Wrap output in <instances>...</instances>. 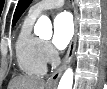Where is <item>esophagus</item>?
<instances>
[{
    "mask_svg": "<svg viewBox=\"0 0 107 89\" xmlns=\"http://www.w3.org/2000/svg\"><path fill=\"white\" fill-rule=\"evenodd\" d=\"M74 6V35L73 38L69 44L67 53L63 59L62 64L58 67V69L48 78L47 84L48 85H57L60 76L62 75L64 69L67 67V65L70 63L73 53L75 50L76 42H77V32H78V13L77 9L75 7V1L73 3Z\"/></svg>",
    "mask_w": 107,
    "mask_h": 89,
    "instance_id": "1",
    "label": "esophagus"
}]
</instances>
